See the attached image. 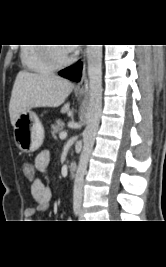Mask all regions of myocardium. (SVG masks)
<instances>
[{
  "label": "myocardium",
  "mask_w": 166,
  "mask_h": 267,
  "mask_svg": "<svg viewBox=\"0 0 166 267\" xmlns=\"http://www.w3.org/2000/svg\"><path fill=\"white\" fill-rule=\"evenodd\" d=\"M51 44H43V46H41V51H42V55L44 57V59L54 68H62L65 67L67 65H69L70 63L73 62L74 57L70 54H68L66 57H64L63 59H60L53 46H50Z\"/></svg>",
  "instance_id": "obj_1"
}]
</instances>
